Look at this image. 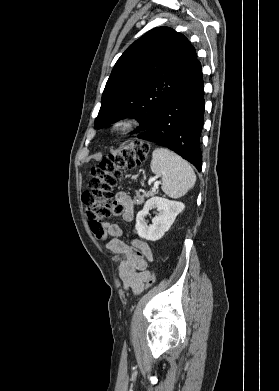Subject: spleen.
<instances>
[{"label": "spleen", "mask_w": 279, "mask_h": 391, "mask_svg": "<svg viewBox=\"0 0 279 391\" xmlns=\"http://www.w3.org/2000/svg\"><path fill=\"white\" fill-rule=\"evenodd\" d=\"M151 171L162 178V189L171 198H179L192 189L196 175L190 164L167 148L152 153Z\"/></svg>", "instance_id": "spleen-1"}]
</instances>
